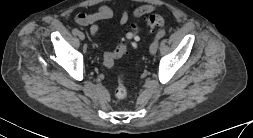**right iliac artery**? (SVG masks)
I'll return each instance as SVG.
<instances>
[{"label": "right iliac artery", "instance_id": "82829eb1", "mask_svg": "<svg viewBox=\"0 0 253 138\" xmlns=\"http://www.w3.org/2000/svg\"><path fill=\"white\" fill-rule=\"evenodd\" d=\"M72 33H73L74 35H77V34L79 33V31H78V29H77L76 27H73V28H72Z\"/></svg>", "mask_w": 253, "mask_h": 138}]
</instances>
